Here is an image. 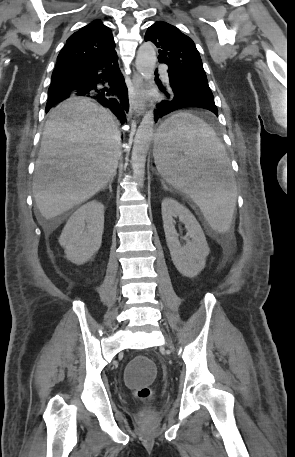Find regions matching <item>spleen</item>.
Masks as SVG:
<instances>
[{"label": "spleen", "instance_id": "1", "mask_svg": "<svg viewBox=\"0 0 295 457\" xmlns=\"http://www.w3.org/2000/svg\"><path fill=\"white\" fill-rule=\"evenodd\" d=\"M154 160L160 175L199 206L215 232L230 229L237 185L224 146L209 125L189 112L173 115L158 129Z\"/></svg>", "mask_w": 295, "mask_h": 457}]
</instances>
